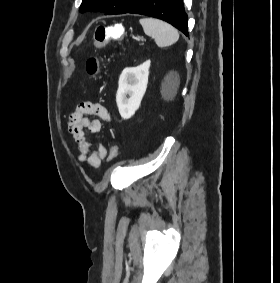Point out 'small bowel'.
Returning a JSON list of instances; mask_svg holds the SVG:
<instances>
[{"label":"small bowel","instance_id":"c3829d8e","mask_svg":"<svg viewBox=\"0 0 280 283\" xmlns=\"http://www.w3.org/2000/svg\"><path fill=\"white\" fill-rule=\"evenodd\" d=\"M88 116H95L90 118ZM111 120L108 110L100 103L81 102L70 114L68 131L74 138L78 147V161L87 162L92 168H98L102 160L108 158L115 146L110 150L103 144H99L95 151L87 138V132L96 135L101 130V121Z\"/></svg>","mask_w":280,"mask_h":283}]
</instances>
